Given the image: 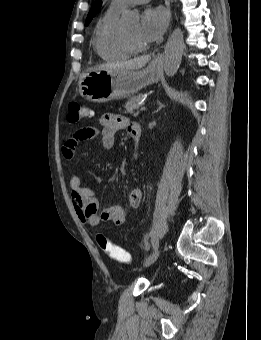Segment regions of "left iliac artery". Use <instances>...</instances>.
Returning <instances> with one entry per match:
<instances>
[{
    "mask_svg": "<svg viewBox=\"0 0 261 340\" xmlns=\"http://www.w3.org/2000/svg\"><path fill=\"white\" fill-rule=\"evenodd\" d=\"M159 247V238L157 236H153L151 238V249L152 252L156 251Z\"/></svg>",
    "mask_w": 261,
    "mask_h": 340,
    "instance_id": "44dca946",
    "label": "left iliac artery"
}]
</instances>
